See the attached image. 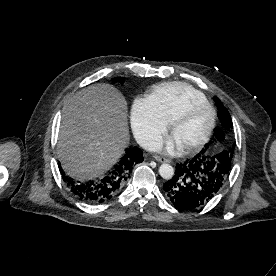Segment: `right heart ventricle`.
Masks as SVG:
<instances>
[{
  "label": "right heart ventricle",
  "instance_id": "obj_1",
  "mask_svg": "<svg viewBox=\"0 0 276 276\" xmlns=\"http://www.w3.org/2000/svg\"><path fill=\"white\" fill-rule=\"evenodd\" d=\"M193 99H206L205 96L183 82H166L156 86L148 96L158 116L169 123L185 105Z\"/></svg>",
  "mask_w": 276,
  "mask_h": 276
}]
</instances>
